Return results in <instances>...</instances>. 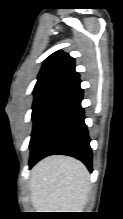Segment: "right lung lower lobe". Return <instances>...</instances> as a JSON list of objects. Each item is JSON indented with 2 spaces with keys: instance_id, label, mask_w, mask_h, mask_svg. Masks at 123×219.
<instances>
[{
  "instance_id": "98d812e1",
  "label": "right lung lower lobe",
  "mask_w": 123,
  "mask_h": 219,
  "mask_svg": "<svg viewBox=\"0 0 123 219\" xmlns=\"http://www.w3.org/2000/svg\"><path fill=\"white\" fill-rule=\"evenodd\" d=\"M82 96L77 78L50 108L31 149L30 168L46 156L63 154L79 159L92 171V150L81 107Z\"/></svg>"
}]
</instances>
